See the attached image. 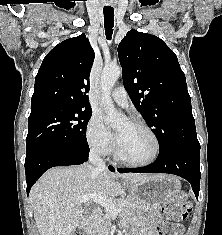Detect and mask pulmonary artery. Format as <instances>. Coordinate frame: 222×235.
<instances>
[{
    "label": "pulmonary artery",
    "instance_id": "1",
    "mask_svg": "<svg viewBox=\"0 0 222 235\" xmlns=\"http://www.w3.org/2000/svg\"><path fill=\"white\" fill-rule=\"evenodd\" d=\"M113 100L120 106L127 108L129 106V98L123 87H117L111 94Z\"/></svg>",
    "mask_w": 222,
    "mask_h": 235
}]
</instances>
